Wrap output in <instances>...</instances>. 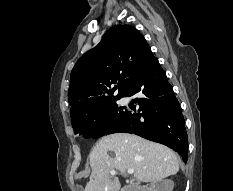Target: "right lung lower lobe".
Masks as SVG:
<instances>
[{
	"label": "right lung lower lobe",
	"instance_id": "98d812e1",
	"mask_svg": "<svg viewBox=\"0 0 233 191\" xmlns=\"http://www.w3.org/2000/svg\"><path fill=\"white\" fill-rule=\"evenodd\" d=\"M133 95L139 96L135 99L140 106L139 110H126L105 135L134 133L172 148L186 162L188 142L181 107L166 79V73L153 55L125 96Z\"/></svg>",
	"mask_w": 233,
	"mask_h": 191
}]
</instances>
